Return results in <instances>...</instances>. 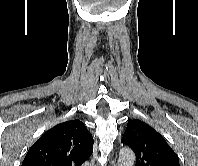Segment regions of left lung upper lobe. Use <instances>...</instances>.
<instances>
[{"label":"left lung upper lobe","instance_id":"5c2ea615","mask_svg":"<svg viewBox=\"0 0 198 166\" xmlns=\"http://www.w3.org/2000/svg\"><path fill=\"white\" fill-rule=\"evenodd\" d=\"M121 142L136 155V166H180L176 153L166 140L148 124L130 120Z\"/></svg>","mask_w":198,"mask_h":166}]
</instances>
